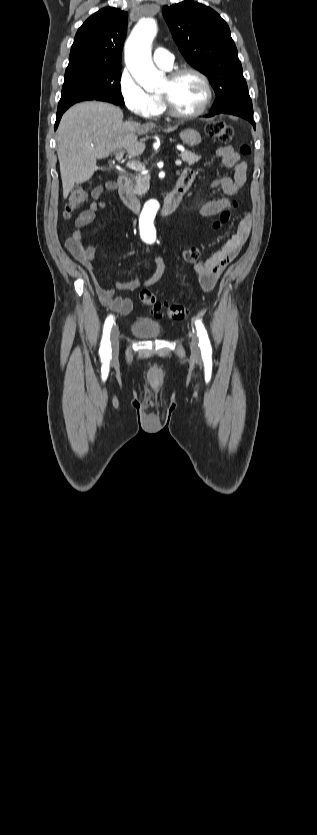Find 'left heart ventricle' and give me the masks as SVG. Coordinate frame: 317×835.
<instances>
[{
	"instance_id": "1",
	"label": "left heart ventricle",
	"mask_w": 317,
	"mask_h": 835,
	"mask_svg": "<svg viewBox=\"0 0 317 835\" xmlns=\"http://www.w3.org/2000/svg\"><path fill=\"white\" fill-rule=\"evenodd\" d=\"M160 93L168 94L175 108L183 113L197 110L205 97L201 80L193 74H185L175 81L166 78Z\"/></svg>"
}]
</instances>
